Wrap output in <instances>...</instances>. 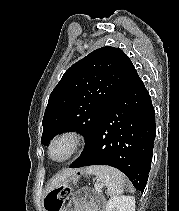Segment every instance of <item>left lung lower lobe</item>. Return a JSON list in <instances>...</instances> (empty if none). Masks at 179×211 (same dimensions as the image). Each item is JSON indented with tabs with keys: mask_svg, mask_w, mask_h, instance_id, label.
Segmentation results:
<instances>
[{
	"mask_svg": "<svg viewBox=\"0 0 179 211\" xmlns=\"http://www.w3.org/2000/svg\"><path fill=\"white\" fill-rule=\"evenodd\" d=\"M151 97L133 66L82 154L69 166L109 165L144 191L156 133Z\"/></svg>",
	"mask_w": 179,
	"mask_h": 211,
	"instance_id": "1",
	"label": "left lung lower lobe"
}]
</instances>
